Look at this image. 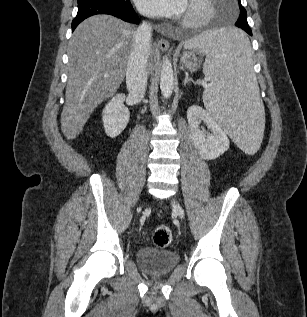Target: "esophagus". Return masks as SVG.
<instances>
[{
    "instance_id": "obj_1",
    "label": "esophagus",
    "mask_w": 307,
    "mask_h": 317,
    "mask_svg": "<svg viewBox=\"0 0 307 317\" xmlns=\"http://www.w3.org/2000/svg\"><path fill=\"white\" fill-rule=\"evenodd\" d=\"M157 45L162 51H168L169 47H170V44H169L168 40H166V39L158 40Z\"/></svg>"
}]
</instances>
